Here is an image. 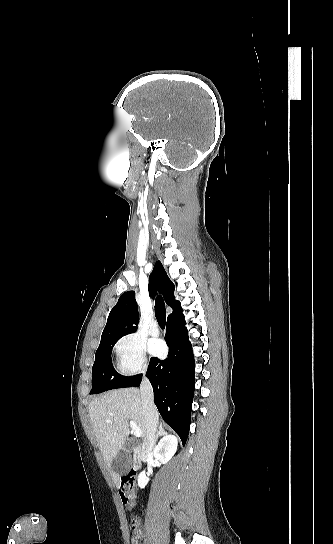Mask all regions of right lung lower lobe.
Masks as SVG:
<instances>
[{"label": "right lung lower lobe", "mask_w": 333, "mask_h": 544, "mask_svg": "<svg viewBox=\"0 0 333 544\" xmlns=\"http://www.w3.org/2000/svg\"><path fill=\"white\" fill-rule=\"evenodd\" d=\"M184 316L178 313L167 319L165 340L168 357L161 361L151 358L147 376L154 391V402L163 418L185 444L191 420L195 388V363L188 341ZM142 376L129 387H138Z\"/></svg>", "instance_id": "1"}]
</instances>
